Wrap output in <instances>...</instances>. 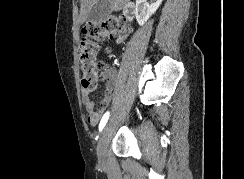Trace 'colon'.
I'll return each mask as SVG.
<instances>
[{
	"label": "colon",
	"mask_w": 244,
	"mask_h": 179,
	"mask_svg": "<svg viewBox=\"0 0 244 179\" xmlns=\"http://www.w3.org/2000/svg\"><path fill=\"white\" fill-rule=\"evenodd\" d=\"M125 27V22L117 18L102 20L98 26L85 24L81 29L82 40L78 45L82 86L90 92L95 91L106 68L105 61L98 56L97 41L103 37L117 34Z\"/></svg>",
	"instance_id": "obj_1"
}]
</instances>
